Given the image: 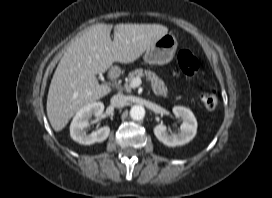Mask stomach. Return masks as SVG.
I'll list each match as a JSON object with an SVG mask.
<instances>
[{"label":"stomach","mask_w":272,"mask_h":198,"mask_svg":"<svg viewBox=\"0 0 272 198\" xmlns=\"http://www.w3.org/2000/svg\"><path fill=\"white\" fill-rule=\"evenodd\" d=\"M177 44V40L172 34L162 36L145 52L144 61L152 65L167 64L173 59Z\"/></svg>","instance_id":"obj_1"}]
</instances>
